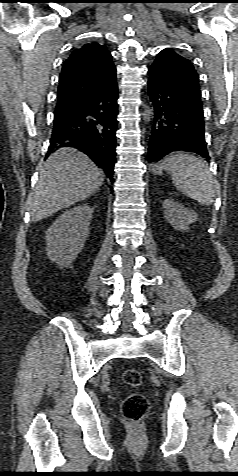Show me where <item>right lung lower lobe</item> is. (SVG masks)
<instances>
[{
    "label": "right lung lower lobe",
    "instance_id": "98d812e1",
    "mask_svg": "<svg viewBox=\"0 0 238 476\" xmlns=\"http://www.w3.org/2000/svg\"><path fill=\"white\" fill-rule=\"evenodd\" d=\"M118 87L113 83L94 99L76 107L54 125L47 156L59 147H74L88 155L113 180L116 157Z\"/></svg>",
    "mask_w": 238,
    "mask_h": 476
}]
</instances>
